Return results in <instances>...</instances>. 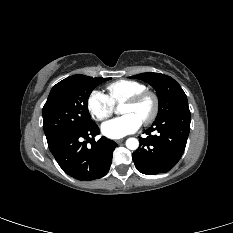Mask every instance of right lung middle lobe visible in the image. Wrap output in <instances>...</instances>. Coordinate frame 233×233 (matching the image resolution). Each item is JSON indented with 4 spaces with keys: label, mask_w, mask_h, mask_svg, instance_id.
<instances>
[{
    "label": "right lung middle lobe",
    "mask_w": 233,
    "mask_h": 233,
    "mask_svg": "<svg viewBox=\"0 0 233 233\" xmlns=\"http://www.w3.org/2000/svg\"><path fill=\"white\" fill-rule=\"evenodd\" d=\"M109 79L73 75L57 83L43 107L46 138L65 131L83 130L94 124L88 112V98L96 86Z\"/></svg>",
    "instance_id": "right-lung-middle-lobe-1"
}]
</instances>
